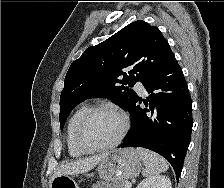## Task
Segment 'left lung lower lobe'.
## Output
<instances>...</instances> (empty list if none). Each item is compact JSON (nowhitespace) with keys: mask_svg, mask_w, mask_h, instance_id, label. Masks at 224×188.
I'll return each instance as SVG.
<instances>
[{"mask_svg":"<svg viewBox=\"0 0 224 188\" xmlns=\"http://www.w3.org/2000/svg\"><path fill=\"white\" fill-rule=\"evenodd\" d=\"M150 94L144 100L147 108L137 104L131 109V130L119 147H144L165 157L172 165L177 180L188 149L192 120V102L187 83L175 56L143 83Z\"/></svg>","mask_w":224,"mask_h":188,"instance_id":"1","label":"left lung lower lobe"}]
</instances>
